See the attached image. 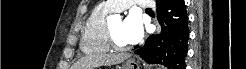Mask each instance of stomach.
Returning a JSON list of instances; mask_svg holds the SVG:
<instances>
[{
	"instance_id": "obj_1",
	"label": "stomach",
	"mask_w": 246,
	"mask_h": 69,
	"mask_svg": "<svg viewBox=\"0 0 246 69\" xmlns=\"http://www.w3.org/2000/svg\"><path fill=\"white\" fill-rule=\"evenodd\" d=\"M121 69H140L139 65L134 60H128L124 63L123 67Z\"/></svg>"
}]
</instances>
